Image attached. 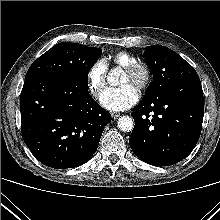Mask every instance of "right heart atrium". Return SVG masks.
Returning <instances> with one entry per match:
<instances>
[{"label":"right heart atrium","mask_w":220,"mask_h":220,"mask_svg":"<svg viewBox=\"0 0 220 220\" xmlns=\"http://www.w3.org/2000/svg\"><path fill=\"white\" fill-rule=\"evenodd\" d=\"M108 65L104 59L94 61L87 71L88 89L92 96L98 97L106 85Z\"/></svg>","instance_id":"1"}]
</instances>
